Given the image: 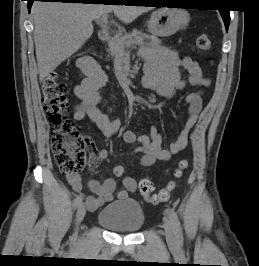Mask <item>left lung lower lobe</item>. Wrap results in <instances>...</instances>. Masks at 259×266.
I'll list each match as a JSON object with an SVG mask.
<instances>
[{
	"label": "left lung lower lobe",
	"mask_w": 259,
	"mask_h": 266,
	"mask_svg": "<svg viewBox=\"0 0 259 266\" xmlns=\"http://www.w3.org/2000/svg\"><path fill=\"white\" fill-rule=\"evenodd\" d=\"M158 3H164V2H158ZM221 12V16L223 18L226 30H228L229 22H230V11L226 9L219 10Z\"/></svg>",
	"instance_id": "0a47b994"
}]
</instances>
